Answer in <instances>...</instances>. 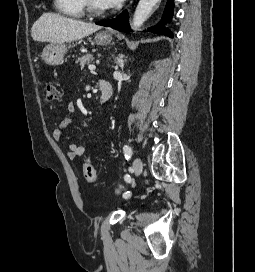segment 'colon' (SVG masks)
I'll list each match as a JSON object with an SVG mask.
<instances>
[{"instance_id": "obj_1", "label": "colon", "mask_w": 255, "mask_h": 272, "mask_svg": "<svg viewBox=\"0 0 255 272\" xmlns=\"http://www.w3.org/2000/svg\"><path fill=\"white\" fill-rule=\"evenodd\" d=\"M44 91H45V99L47 101H54L59 98L58 89L52 83L47 82L44 86ZM83 175L89 183L94 184L97 182V175H96L95 168L89 159L85 160L83 163Z\"/></svg>"}]
</instances>
